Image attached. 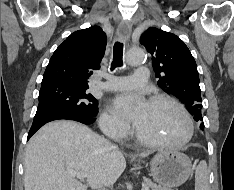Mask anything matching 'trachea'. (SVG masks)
Instances as JSON below:
<instances>
[{
    "mask_svg": "<svg viewBox=\"0 0 234 190\" xmlns=\"http://www.w3.org/2000/svg\"><path fill=\"white\" fill-rule=\"evenodd\" d=\"M123 65V43L116 42L113 50V61L111 63V70Z\"/></svg>",
    "mask_w": 234,
    "mask_h": 190,
    "instance_id": "trachea-1",
    "label": "trachea"
}]
</instances>
